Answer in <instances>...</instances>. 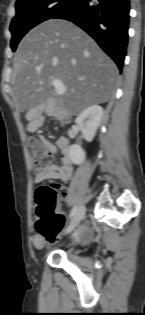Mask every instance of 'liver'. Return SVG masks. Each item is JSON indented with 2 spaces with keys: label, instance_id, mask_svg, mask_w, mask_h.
I'll return each instance as SVG.
<instances>
[{
  "label": "liver",
  "instance_id": "1",
  "mask_svg": "<svg viewBox=\"0 0 145 315\" xmlns=\"http://www.w3.org/2000/svg\"><path fill=\"white\" fill-rule=\"evenodd\" d=\"M11 79L17 109H29L28 120L40 105L59 118L70 119L91 105L107 102L118 78L115 63L82 29L62 19L47 20L19 43ZM66 92L54 98L53 80Z\"/></svg>",
  "mask_w": 145,
  "mask_h": 315
}]
</instances>
